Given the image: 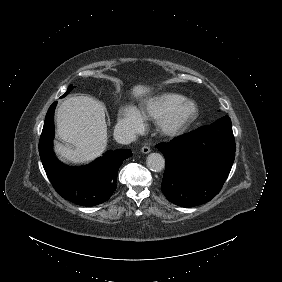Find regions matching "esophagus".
Returning <instances> with one entry per match:
<instances>
[{
	"label": "esophagus",
	"instance_id": "obj_1",
	"mask_svg": "<svg viewBox=\"0 0 282 282\" xmlns=\"http://www.w3.org/2000/svg\"><path fill=\"white\" fill-rule=\"evenodd\" d=\"M141 151H142L143 154H148L151 151V149L149 147H147V146H144L141 149Z\"/></svg>",
	"mask_w": 282,
	"mask_h": 282
}]
</instances>
